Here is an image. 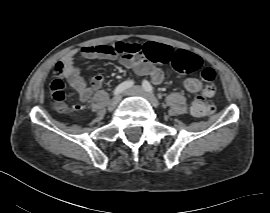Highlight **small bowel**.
I'll return each mask as SVG.
<instances>
[{
    "instance_id": "small-bowel-1",
    "label": "small bowel",
    "mask_w": 270,
    "mask_h": 213,
    "mask_svg": "<svg viewBox=\"0 0 270 213\" xmlns=\"http://www.w3.org/2000/svg\"><path fill=\"white\" fill-rule=\"evenodd\" d=\"M150 51L163 63H166V60L171 59L175 54V50L171 46L159 43L151 44ZM78 53L87 60H117L122 66L133 69L139 76L150 74L155 84H160L163 81V72L157 67L150 66L142 61H134L127 55L117 57L109 50V45H87L79 51L71 50L67 52L55 65L56 72L78 93L81 102L88 101L93 92L99 89L103 83V77L97 75L86 81L81 75L80 68L74 64V58ZM55 81H60L63 85L61 80L56 79ZM182 85L192 94L199 93L204 87L202 80L193 77L185 78ZM80 108V105L74 107L75 110Z\"/></svg>"
}]
</instances>
